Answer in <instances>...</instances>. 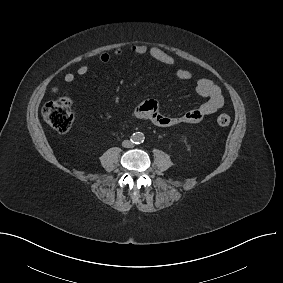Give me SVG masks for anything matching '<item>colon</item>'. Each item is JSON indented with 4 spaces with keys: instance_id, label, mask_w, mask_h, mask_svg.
Wrapping results in <instances>:
<instances>
[{
    "instance_id": "1",
    "label": "colon",
    "mask_w": 283,
    "mask_h": 283,
    "mask_svg": "<svg viewBox=\"0 0 283 283\" xmlns=\"http://www.w3.org/2000/svg\"><path fill=\"white\" fill-rule=\"evenodd\" d=\"M42 115L58 133L68 132L74 121L71 99L66 95H58L43 106ZM217 123L221 127H226L231 123V118L227 114H221L217 117Z\"/></svg>"
}]
</instances>
